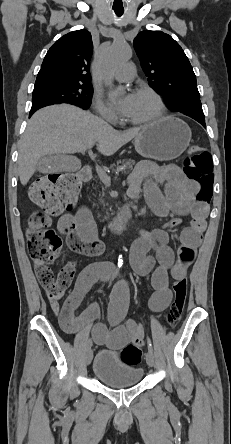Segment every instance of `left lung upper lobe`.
<instances>
[{
  "mask_svg": "<svg viewBox=\"0 0 231 444\" xmlns=\"http://www.w3.org/2000/svg\"><path fill=\"white\" fill-rule=\"evenodd\" d=\"M151 87L163 94L171 110L204 119L196 76L181 46L161 31H142L133 42Z\"/></svg>",
  "mask_w": 231,
  "mask_h": 444,
  "instance_id": "1",
  "label": "left lung upper lobe"
}]
</instances>
